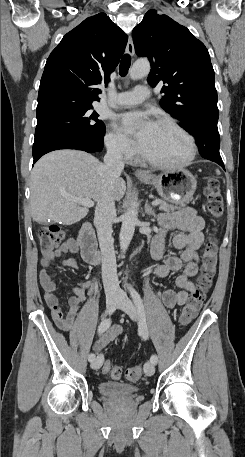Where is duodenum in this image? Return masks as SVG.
Segmentation results:
<instances>
[{
	"mask_svg": "<svg viewBox=\"0 0 245 457\" xmlns=\"http://www.w3.org/2000/svg\"><path fill=\"white\" fill-rule=\"evenodd\" d=\"M79 249L82 258L89 264H97L100 260L94 229L90 222H85L78 237Z\"/></svg>",
	"mask_w": 245,
	"mask_h": 457,
	"instance_id": "1",
	"label": "duodenum"
}]
</instances>
